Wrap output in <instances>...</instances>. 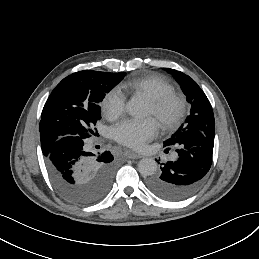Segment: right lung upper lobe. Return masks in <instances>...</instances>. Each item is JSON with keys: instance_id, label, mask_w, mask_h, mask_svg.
Masks as SVG:
<instances>
[{"instance_id": "1", "label": "right lung upper lobe", "mask_w": 259, "mask_h": 259, "mask_svg": "<svg viewBox=\"0 0 259 259\" xmlns=\"http://www.w3.org/2000/svg\"><path fill=\"white\" fill-rule=\"evenodd\" d=\"M101 72L99 71H79L64 78L52 91L42 111L39 131L41 148L46 157L57 139L49 135L51 130L50 122L67 113L70 109L73 99H78L77 83L86 77H93ZM58 94V96H57Z\"/></svg>"}]
</instances>
